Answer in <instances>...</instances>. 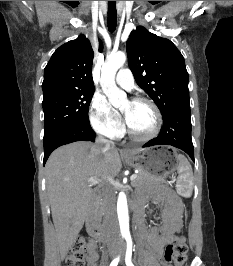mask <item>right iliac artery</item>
Here are the masks:
<instances>
[{
  "label": "right iliac artery",
  "mask_w": 233,
  "mask_h": 266,
  "mask_svg": "<svg viewBox=\"0 0 233 266\" xmlns=\"http://www.w3.org/2000/svg\"><path fill=\"white\" fill-rule=\"evenodd\" d=\"M120 260V256H117L111 263L110 266H117Z\"/></svg>",
  "instance_id": "obj_1"
}]
</instances>
